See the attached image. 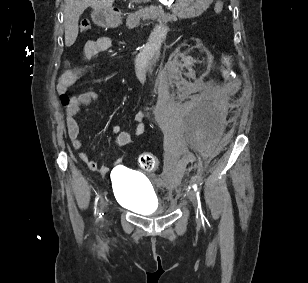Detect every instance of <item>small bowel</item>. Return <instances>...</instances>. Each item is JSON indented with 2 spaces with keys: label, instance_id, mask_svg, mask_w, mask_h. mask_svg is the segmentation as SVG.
<instances>
[{
  "label": "small bowel",
  "instance_id": "obj_1",
  "mask_svg": "<svg viewBox=\"0 0 308 283\" xmlns=\"http://www.w3.org/2000/svg\"><path fill=\"white\" fill-rule=\"evenodd\" d=\"M162 29H157L154 34ZM153 34V35H154ZM112 47V41L108 37H100L96 40H90L86 43L84 47V53L87 57H94L101 53L108 51ZM135 73L139 80L143 81L146 79V71L139 65L138 61L135 62ZM82 76V72L77 68H67L65 69L59 77L57 89L60 93L67 92L71 86H73ZM97 99V94L94 91H86L75 95L71 98L69 105L67 106V127L69 137L72 142V146L75 150L78 151L79 158L88 166L92 171H99L102 174L109 172L110 168L106 165L98 167L95 161L90 159V157L83 151L84 142L79 137V126L75 119L82 110L84 105H88L92 101ZM166 108V103L164 100H161L156 109L158 116L162 117ZM147 117L146 111H140L136 114L135 120L137 122L135 128V136H141L146 132L145 119ZM114 132L117 135L116 145L118 147H123L131 142V134L127 131H124L120 126L114 127ZM121 160H116V164Z\"/></svg>",
  "mask_w": 308,
  "mask_h": 283
}]
</instances>
